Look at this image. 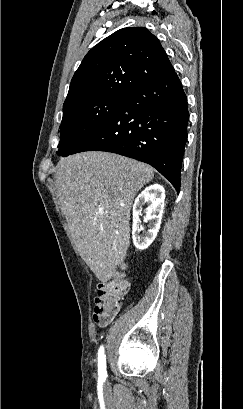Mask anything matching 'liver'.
<instances>
[{"label": "liver", "instance_id": "6515ba94", "mask_svg": "<svg viewBox=\"0 0 243 409\" xmlns=\"http://www.w3.org/2000/svg\"><path fill=\"white\" fill-rule=\"evenodd\" d=\"M153 176L145 163L102 151L71 155L57 164L62 212L81 257L102 282L126 258L132 203Z\"/></svg>", "mask_w": 243, "mask_h": 409}]
</instances>
